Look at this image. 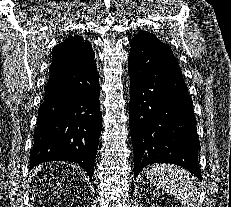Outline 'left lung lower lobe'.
Instances as JSON below:
<instances>
[{"label":"left lung lower lobe","mask_w":231,"mask_h":207,"mask_svg":"<svg viewBox=\"0 0 231 207\" xmlns=\"http://www.w3.org/2000/svg\"><path fill=\"white\" fill-rule=\"evenodd\" d=\"M128 71L134 178L154 163L179 165L202 180L193 104L169 45L132 40Z\"/></svg>","instance_id":"1"}]
</instances>
